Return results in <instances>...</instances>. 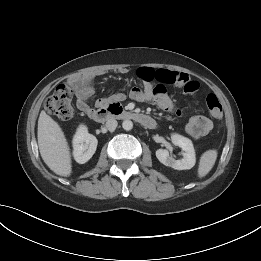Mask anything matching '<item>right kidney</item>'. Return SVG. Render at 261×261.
<instances>
[{"label":"right kidney","instance_id":"right-kidney-1","mask_svg":"<svg viewBox=\"0 0 261 261\" xmlns=\"http://www.w3.org/2000/svg\"><path fill=\"white\" fill-rule=\"evenodd\" d=\"M97 139L88 133L87 127L80 125L73 138V156L76 162L86 163L96 151Z\"/></svg>","mask_w":261,"mask_h":261}]
</instances>
